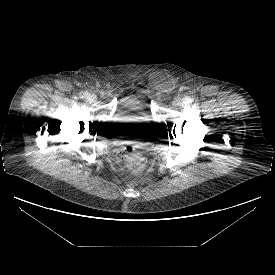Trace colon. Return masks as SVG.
Listing matches in <instances>:
<instances>
[{"label":"colon","instance_id":"colon-1","mask_svg":"<svg viewBox=\"0 0 275 275\" xmlns=\"http://www.w3.org/2000/svg\"><path fill=\"white\" fill-rule=\"evenodd\" d=\"M125 165L132 171L138 172L143 169L145 161L140 153L132 147H125L120 155Z\"/></svg>","mask_w":275,"mask_h":275}]
</instances>
